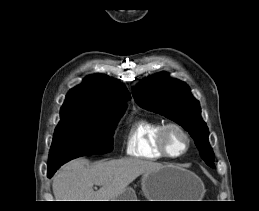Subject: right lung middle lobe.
Instances as JSON below:
<instances>
[{
	"instance_id": "1",
	"label": "right lung middle lobe",
	"mask_w": 259,
	"mask_h": 211,
	"mask_svg": "<svg viewBox=\"0 0 259 211\" xmlns=\"http://www.w3.org/2000/svg\"><path fill=\"white\" fill-rule=\"evenodd\" d=\"M122 112L73 111L61 115L49 154L48 169L59 168L80 156L105 154L113 149V132Z\"/></svg>"
}]
</instances>
